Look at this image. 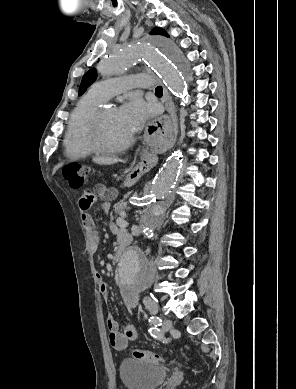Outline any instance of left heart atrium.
Wrapping results in <instances>:
<instances>
[{"instance_id":"1","label":"left heart atrium","mask_w":296,"mask_h":389,"mask_svg":"<svg viewBox=\"0 0 296 389\" xmlns=\"http://www.w3.org/2000/svg\"><path fill=\"white\" fill-rule=\"evenodd\" d=\"M118 114L124 128L132 136L142 128L152 110L142 99L132 97L118 110Z\"/></svg>"}]
</instances>
